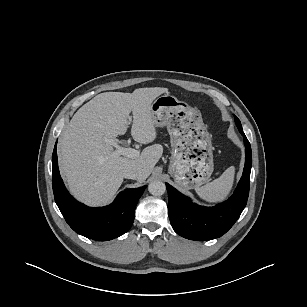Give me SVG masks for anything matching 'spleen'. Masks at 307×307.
<instances>
[{
    "label": "spleen",
    "instance_id": "3e777b00",
    "mask_svg": "<svg viewBox=\"0 0 307 307\" xmlns=\"http://www.w3.org/2000/svg\"><path fill=\"white\" fill-rule=\"evenodd\" d=\"M234 175L235 168L231 166L227 168L219 178L202 187L196 188V193L201 199L209 203L223 201L232 189Z\"/></svg>",
    "mask_w": 307,
    "mask_h": 307
}]
</instances>
